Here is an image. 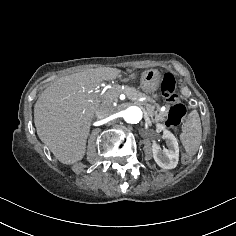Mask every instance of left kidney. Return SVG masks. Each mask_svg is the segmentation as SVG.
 Listing matches in <instances>:
<instances>
[{
	"mask_svg": "<svg viewBox=\"0 0 236 236\" xmlns=\"http://www.w3.org/2000/svg\"><path fill=\"white\" fill-rule=\"evenodd\" d=\"M161 128V126H159ZM165 140L166 148H164V156L160 153V146L155 141L152 145L153 158L156 164L163 169L176 168L179 160L178 142L173 134L164 131L161 136Z\"/></svg>",
	"mask_w": 236,
	"mask_h": 236,
	"instance_id": "5707ae66",
	"label": "left kidney"
}]
</instances>
